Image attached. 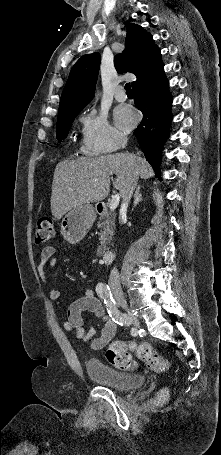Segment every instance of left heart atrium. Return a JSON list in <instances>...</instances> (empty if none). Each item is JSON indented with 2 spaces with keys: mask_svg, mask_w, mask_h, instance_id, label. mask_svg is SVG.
<instances>
[{
  "mask_svg": "<svg viewBox=\"0 0 221 455\" xmlns=\"http://www.w3.org/2000/svg\"><path fill=\"white\" fill-rule=\"evenodd\" d=\"M114 119L119 128L130 130L137 122V116L128 106H119L114 111Z\"/></svg>",
  "mask_w": 221,
  "mask_h": 455,
  "instance_id": "obj_1",
  "label": "left heart atrium"
}]
</instances>
